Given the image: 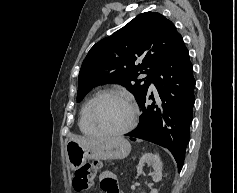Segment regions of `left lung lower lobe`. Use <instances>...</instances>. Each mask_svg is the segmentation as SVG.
Segmentation results:
<instances>
[{"label": "left lung lower lobe", "mask_w": 237, "mask_h": 193, "mask_svg": "<svg viewBox=\"0 0 237 193\" xmlns=\"http://www.w3.org/2000/svg\"><path fill=\"white\" fill-rule=\"evenodd\" d=\"M152 82L160 99L156 102L153 95L146 93L139 103L143 111L139 125L127 135L133 137L130 138L133 141L139 138L168 148L180 172L195 102L193 67L183 39L161 64ZM148 99L153 103L148 104Z\"/></svg>", "instance_id": "obj_1"}]
</instances>
